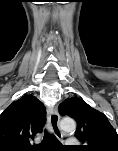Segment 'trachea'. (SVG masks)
I'll return each instance as SVG.
<instances>
[{
  "instance_id": "obj_1",
  "label": "trachea",
  "mask_w": 118,
  "mask_h": 151,
  "mask_svg": "<svg viewBox=\"0 0 118 151\" xmlns=\"http://www.w3.org/2000/svg\"><path fill=\"white\" fill-rule=\"evenodd\" d=\"M42 143L43 144H50L51 143L53 145H58L59 144L57 138L54 135L49 134L47 131H45V133H44Z\"/></svg>"
}]
</instances>
